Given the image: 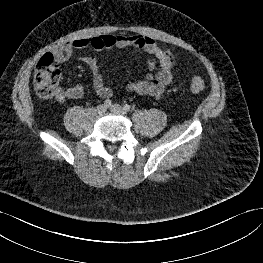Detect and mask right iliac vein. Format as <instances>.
I'll list each match as a JSON object with an SVG mask.
<instances>
[{
	"instance_id": "1",
	"label": "right iliac vein",
	"mask_w": 263,
	"mask_h": 263,
	"mask_svg": "<svg viewBox=\"0 0 263 263\" xmlns=\"http://www.w3.org/2000/svg\"><path fill=\"white\" fill-rule=\"evenodd\" d=\"M97 112L98 114H104L106 112V106L105 105L97 106Z\"/></svg>"
}]
</instances>
